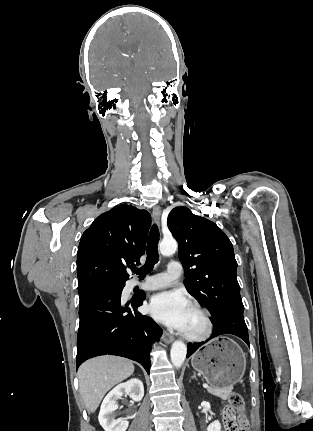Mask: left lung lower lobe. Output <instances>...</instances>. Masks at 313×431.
I'll return each instance as SVG.
<instances>
[{
	"instance_id": "obj_1",
	"label": "left lung lower lobe",
	"mask_w": 313,
	"mask_h": 431,
	"mask_svg": "<svg viewBox=\"0 0 313 431\" xmlns=\"http://www.w3.org/2000/svg\"><path fill=\"white\" fill-rule=\"evenodd\" d=\"M213 323L214 329L211 337L208 340L223 334H233L242 338L247 343V345L250 346L248 330L242 312H230L223 314L217 319L213 320ZM208 340L200 343H189L187 346V357L191 356L200 346L205 344Z\"/></svg>"
}]
</instances>
